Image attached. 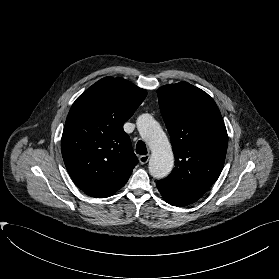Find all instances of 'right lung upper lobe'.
I'll use <instances>...</instances> for the list:
<instances>
[{"label": "right lung upper lobe", "mask_w": 279, "mask_h": 279, "mask_svg": "<svg viewBox=\"0 0 279 279\" xmlns=\"http://www.w3.org/2000/svg\"><path fill=\"white\" fill-rule=\"evenodd\" d=\"M147 95L123 78L105 77L73 103L61 150L74 183L92 197L113 195L128 181L138 159L123 124Z\"/></svg>", "instance_id": "1"}]
</instances>
